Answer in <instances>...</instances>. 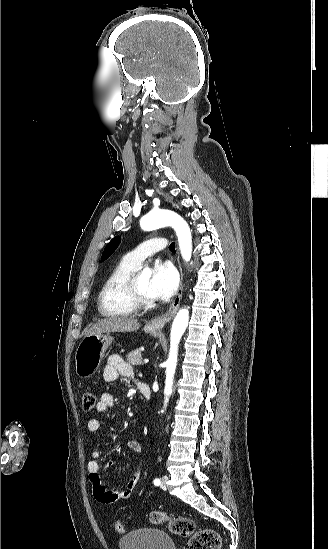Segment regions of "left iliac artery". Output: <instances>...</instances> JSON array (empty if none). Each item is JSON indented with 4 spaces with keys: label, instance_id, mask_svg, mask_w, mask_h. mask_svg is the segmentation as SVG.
<instances>
[{
    "label": "left iliac artery",
    "instance_id": "left-iliac-artery-1",
    "mask_svg": "<svg viewBox=\"0 0 328 549\" xmlns=\"http://www.w3.org/2000/svg\"><path fill=\"white\" fill-rule=\"evenodd\" d=\"M161 481L159 479H155L154 480V485L158 486L160 485Z\"/></svg>",
    "mask_w": 328,
    "mask_h": 549
}]
</instances>
